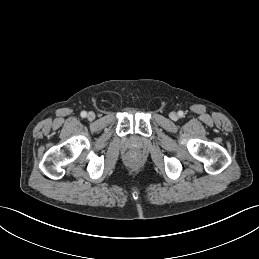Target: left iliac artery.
Segmentation results:
<instances>
[{
    "label": "left iliac artery",
    "instance_id": "1",
    "mask_svg": "<svg viewBox=\"0 0 259 259\" xmlns=\"http://www.w3.org/2000/svg\"><path fill=\"white\" fill-rule=\"evenodd\" d=\"M179 117H183V111L178 112Z\"/></svg>",
    "mask_w": 259,
    "mask_h": 259
}]
</instances>
